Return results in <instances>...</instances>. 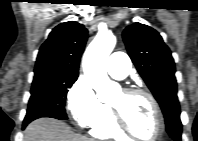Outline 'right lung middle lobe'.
<instances>
[{
    "label": "right lung middle lobe",
    "mask_w": 198,
    "mask_h": 141,
    "mask_svg": "<svg viewBox=\"0 0 198 141\" xmlns=\"http://www.w3.org/2000/svg\"><path fill=\"white\" fill-rule=\"evenodd\" d=\"M77 78L76 74H35L24 123L40 117L66 120L67 115L64 108L66 95L68 88Z\"/></svg>",
    "instance_id": "obj_1"
}]
</instances>
